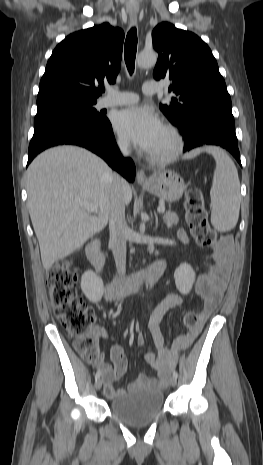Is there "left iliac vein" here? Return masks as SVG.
<instances>
[{
	"mask_svg": "<svg viewBox=\"0 0 263 465\" xmlns=\"http://www.w3.org/2000/svg\"><path fill=\"white\" fill-rule=\"evenodd\" d=\"M169 383L172 387H175L177 385V378L172 376L169 380Z\"/></svg>",
	"mask_w": 263,
	"mask_h": 465,
	"instance_id": "4c4485c4",
	"label": "left iliac vein"
}]
</instances>
